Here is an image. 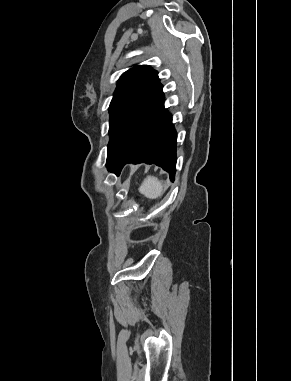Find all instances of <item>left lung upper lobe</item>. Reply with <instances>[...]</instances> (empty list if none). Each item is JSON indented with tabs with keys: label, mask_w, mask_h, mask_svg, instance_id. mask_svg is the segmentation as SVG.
<instances>
[{
	"label": "left lung upper lobe",
	"mask_w": 291,
	"mask_h": 381,
	"mask_svg": "<svg viewBox=\"0 0 291 381\" xmlns=\"http://www.w3.org/2000/svg\"><path fill=\"white\" fill-rule=\"evenodd\" d=\"M161 87L157 71L148 65L134 66L122 74L109 107L108 154Z\"/></svg>",
	"instance_id": "obj_1"
}]
</instances>
